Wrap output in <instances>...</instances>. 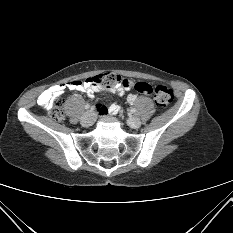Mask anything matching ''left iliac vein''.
Returning a JSON list of instances; mask_svg holds the SVG:
<instances>
[{"mask_svg":"<svg viewBox=\"0 0 233 233\" xmlns=\"http://www.w3.org/2000/svg\"><path fill=\"white\" fill-rule=\"evenodd\" d=\"M127 123L131 128H135V129L139 128L141 126L140 119L138 117H134V116L128 118Z\"/></svg>","mask_w":233,"mask_h":233,"instance_id":"4c4485c4","label":"left iliac vein"}]
</instances>
